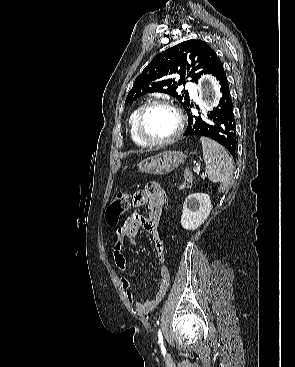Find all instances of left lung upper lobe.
I'll return each instance as SVG.
<instances>
[{"label": "left lung upper lobe", "instance_id": "left-lung-upper-lobe-1", "mask_svg": "<svg viewBox=\"0 0 295 367\" xmlns=\"http://www.w3.org/2000/svg\"><path fill=\"white\" fill-rule=\"evenodd\" d=\"M219 58L214 50L202 40H187L158 54L135 79L125 103H130L140 96L161 92L180 101L187 111L190 107L189 96L178 95L177 86L184 84L190 77L198 81L203 74H212ZM203 69V70H202ZM180 76L176 80L174 75Z\"/></svg>", "mask_w": 295, "mask_h": 367}]
</instances>
